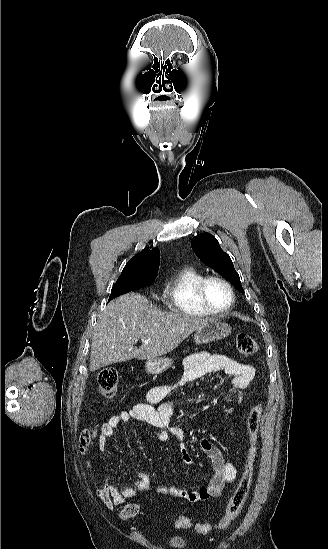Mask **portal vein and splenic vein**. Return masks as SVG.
<instances>
[{
	"mask_svg": "<svg viewBox=\"0 0 328 549\" xmlns=\"http://www.w3.org/2000/svg\"><path fill=\"white\" fill-rule=\"evenodd\" d=\"M145 343H150V341H145Z\"/></svg>",
	"mask_w": 328,
	"mask_h": 549,
	"instance_id": "obj_1",
	"label": "portal vein and splenic vein"
}]
</instances>
